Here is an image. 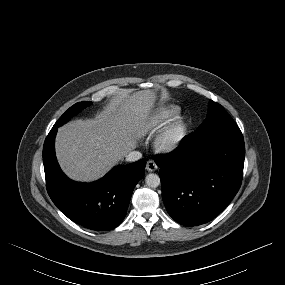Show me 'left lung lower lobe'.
I'll use <instances>...</instances> for the list:
<instances>
[{
    "mask_svg": "<svg viewBox=\"0 0 285 285\" xmlns=\"http://www.w3.org/2000/svg\"><path fill=\"white\" fill-rule=\"evenodd\" d=\"M244 158L242 134L208 139L189 135L174 153L156 156L169 215L185 226L215 218L241 186Z\"/></svg>",
    "mask_w": 285,
    "mask_h": 285,
    "instance_id": "left-lung-lower-lobe-1",
    "label": "left lung lower lobe"
}]
</instances>
